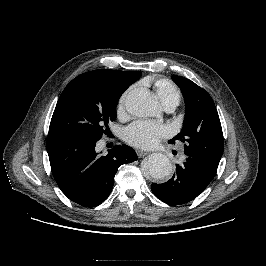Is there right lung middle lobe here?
<instances>
[{
	"label": "right lung middle lobe",
	"instance_id": "right-lung-middle-lobe-1",
	"mask_svg": "<svg viewBox=\"0 0 266 266\" xmlns=\"http://www.w3.org/2000/svg\"><path fill=\"white\" fill-rule=\"evenodd\" d=\"M128 88L115 81L97 78L72 80L54 110L49 133H69L99 140L108 123L116 118V105Z\"/></svg>",
	"mask_w": 266,
	"mask_h": 266
}]
</instances>
